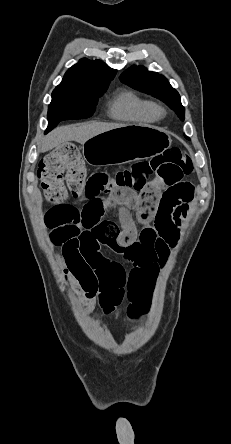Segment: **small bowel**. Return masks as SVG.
Masks as SVG:
<instances>
[{
  "label": "small bowel",
  "instance_id": "obj_1",
  "mask_svg": "<svg viewBox=\"0 0 231 444\" xmlns=\"http://www.w3.org/2000/svg\"><path fill=\"white\" fill-rule=\"evenodd\" d=\"M111 179L107 172L89 177L80 205L64 204L70 221L51 231L53 243L62 246L63 252L71 249L82 257L80 267L68 268L64 260V268L84 293L86 314L97 302L109 313L125 296L132 298L154 286L178 241L181 221L194 197V187L189 182L171 188L149 181L136 189L138 195L132 189L121 188L103 198L100 193ZM112 208L119 211L120 226L104 218ZM105 248L121 261L110 259Z\"/></svg>",
  "mask_w": 231,
  "mask_h": 444
}]
</instances>
